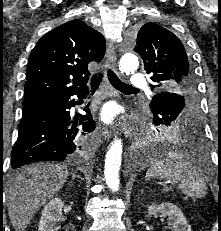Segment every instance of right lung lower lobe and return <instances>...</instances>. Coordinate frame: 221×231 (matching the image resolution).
Wrapping results in <instances>:
<instances>
[{
  "mask_svg": "<svg viewBox=\"0 0 221 231\" xmlns=\"http://www.w3.org/2000/svg\"><path fill=\"white\" fill-rule=\"evenodd\" d=\"M88 90L45 96L23 104L17 143L11 154L12 168L37 161H63L84 145L87 132L95 129L89 104L87 115L75 118L71 125V96L86 97ZM87 120L86 122H83Z\"/></svg>",
  "mask_w": 221,
  "mask_h": 231,
  "instance_id": "98d812e1",
  "label": "right lung lower lobe"
}]
</instances>
